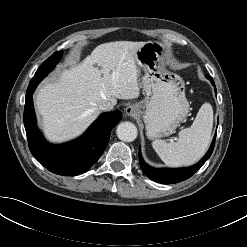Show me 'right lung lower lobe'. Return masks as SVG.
<instances>
[{"mask_svg":"<svg viewBox=\"0 0 247 247\" xmlns=\"http://www.w3.org/2000/svg\"><path fill=\"white\" fill-rule=\"evenodd\" d=\"M39 82L30 81L25 99L24 126L32 155L49 171L63 176L86 172L102 155L112 128L120 121L116 110L103 113L79 139L63 145L47 143L35 123L32 93Z\"/></svg>","mask_w":247,"mask_h":247,"instance_id":"obj_1","label":"right lung lower lobe"}]
</instances>
